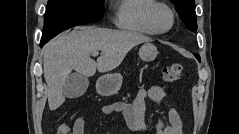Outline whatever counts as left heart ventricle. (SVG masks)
<instances>
[{"label":"left heart ventricle","mask_w":239,"mask_h":134,"mask_svg":"<svg viewBox=\"0 0 239 134\" xmlns=\"http://www.w3.org/2000/svg\"><path fill=\"white\" fill-rule=\"evenodd\" d=\"M157 24L160 28H167L170 24V15L166 11L160 10L157 14Z\"/></svg>","instance_id":"1"}]
</instances>
